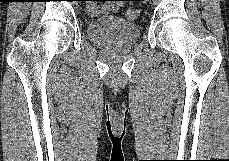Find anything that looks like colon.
<instances>
[{
	"label": "colon",
	"mask_w": 229,
	"mask_h": 161,
	"mask_svg": "<svg viewBox=\"0 0 229 161\" xmlns=\"http://www.w3.org/2000/svg\"><path fill=\"white\" fill-rule=\"evenodd\" d=\"M89 1H91V3H93L96 0H89ZM111 1H117V0H111ZM90 7H93V5H90ZM139 14H140V11L138 9L130 8V9L126 10L125 17L128 20H136L139 17Z\"/></svg>",
	"instance_id": "colon-1"
}]
</instances>
